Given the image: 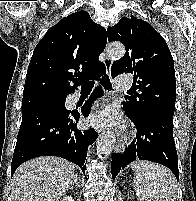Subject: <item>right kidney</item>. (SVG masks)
I'll return each mask as SVG.
<instances>
[{"instance_id":"ca27d5eb","label":"right kidney","mask_w":196,"mask_h":201,"mask_svg":"<svg viewBox=\"0 0 196 201\" xmlns=\"http://www.w3.org/2000/svg\"><path fill=\"white\" fill-rule=\"evenodd\" d=\"M60 201H74L73 197L72 196H66L64 197L62 200Z\"/></svg>"}]
</instances>
